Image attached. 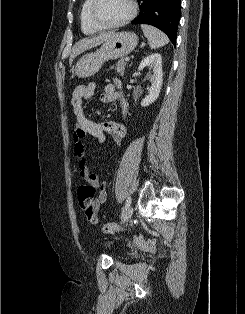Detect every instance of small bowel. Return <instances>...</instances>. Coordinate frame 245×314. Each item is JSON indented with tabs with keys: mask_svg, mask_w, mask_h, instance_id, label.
<instances>
[{
	"mask_svg": "<svg viewBox=\"0 0 245 314\" xmlns=\"http://www.w3.org/2000/svg\"><path fill=\"white\" fill-rule=\"evenodd\" d=\"M95 88L96 84L94 82L78 85L74 88L71 99L73 113L76 118V125L73 133L74 153L81 158L78 164L79 174L82 179L87 181L97 190V199L94 201L93 212L91 214H86L87 219L94 224L98 223L97 213L100 206L105 204L107 200V182L101 180L96 173L89 170L87 162L84 159V139L87 136H91L100 142H104L106 137L109 136L120 146L127 132L123 122H95L84 115V104L93 96ZM118 99L122 100L123 115L124 118H126L127 105L125 101L121 99L117 85L114 83L105 84L104 91L100 95V101L103 103H112Z\"/></svg>",
	"mask_w": 245,
	"mask_h": 314,
	"instance_id": "small-bowel-1",
	"label": "small bowel"
}]
</instances>
